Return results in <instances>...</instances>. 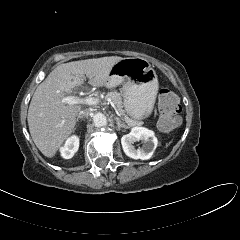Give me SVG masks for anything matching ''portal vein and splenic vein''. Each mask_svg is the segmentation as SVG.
Instances as JSON below:
<instances>
[{"label":"portal vein and splenic vein","mask_w":240,"mask_h":240,"mask_svg":"<svg viewBox=\"0 0 240 240\" xmlns=\"http://www.w3.org/2000/svg\"><path fill=\"white\" fill-rule=\"evenodd\" d=\"M62 102L67 103L68 105H74V104L96 105L99 103V99L95 97L80 98L78 96H66L62 98ZM116 112L119 116L122 115L121 113L119 114L118 111Z\"/></svg>","instance_id":"1"}]
</instances>
